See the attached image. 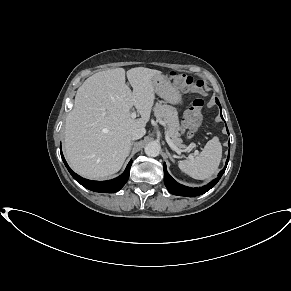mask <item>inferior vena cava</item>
Segmentation results:
<instances>
[{
	"label": "inferior vena cava",
	"instance_id": "1",
	"mask_svg": "<svg viewBox=\"0 0 291 291\" xmlns=\"http://www.w3.org/2000/svg\"><path fill=\"white\" fill-rule=\"evenodd\" d=\"M145 133H146L145 128H137L132 132L131 139L132 140L140 139L145 135Z\"/></svg>",
	"mask_w": 291,
	"mask_h": 291
}]
</instances>
